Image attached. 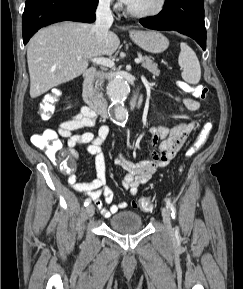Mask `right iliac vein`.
<instances>
[{
    "mask_svg": "<svg viewBox=\"0 0 243 289\" xmlns=\"http://www.w3.org/2000/svg\"><path fill=\"white\" fill-rule=\"evenodd\" d=\"M95 208L92 204L88 205L86 208V213L88 217H92L94 215Z\"/></svg>",
    "mask_w": 243,
    "mask_h": 289,
    "instance_id": "right-iliac-vein-1",
    "label": "right iliac vein"
}]
</instances>
